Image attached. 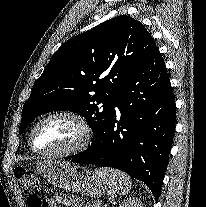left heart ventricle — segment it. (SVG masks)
Masks as SVG:
<instances>
[{"instance_id":"obj_1","label":"left heart ventricle","mask_w":206,"mask_h":207,"mask_svg":"<svg viewBox=\"0 0 206 207\" xmlns=\"http://www.w3.org/2000/svg\"><path fill=\"white\" fill-rule=\"evenodd\" d=\"M82 130L69 118H53L43 122L33 136L34 145L43 150L69 148L80 141Z\"/></svg>"}]
</instances>
